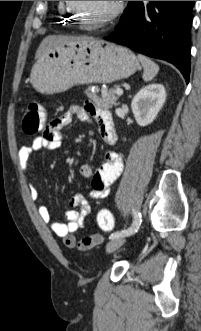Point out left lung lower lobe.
Wrapping results in <instances>:
<instances>
[{
    "label": "left lung lower lobe",
    "mask_w": 201,
    "mask_h": 331,
    "mask_svg": "<svg viewBox=\"0 0 201 331\" xmlns=\"http://www.w3.org/2000/svg\"><path fill=\"white\" fill-rule=\"evenodd\" d=\"M194 1H129L105 40L174 64L189 82Z\"/></svg>",
    "instance_id": "1"
}]
</instances>
